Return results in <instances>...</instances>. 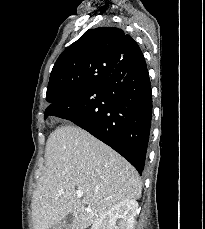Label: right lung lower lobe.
<instances>
[{
	"label": "right lung lower lobe",
	"instance_id": "obj_1",
	"mask_svg": "<svg viewBox=\"0 0 205 229\" xmlns=\"http://www.w3.org/2000/svg\"><path fill=\"white\" fill-rule=\"evenodd\" d=\"M68 119L100 139L141 174L144 169L152 117V93L142 52L122 59L110 76L45 111Z\"/></svg>",
	"mask_w": 205,
	"mask_h": 229
}]
</instances>
